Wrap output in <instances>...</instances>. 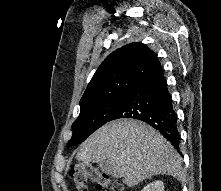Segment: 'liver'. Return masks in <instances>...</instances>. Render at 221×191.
Wrapping results in <instances>:
<instances>
[{"label":"liver","instance_id":"6515ba94","mask_svg":"<svg viewBox=\"0 0 221 191\" xmlns=\"http://www.w3.org/2000/svg\"><path fill=\"white\" fill-rule=\"evenodd\" d=\"M76 159L109 162L129 187L160 174L184 178L177 151L159 132L139 120L119 119L105 124L83 142Z\"/></svg>","mask_w":221,"mask_h":191}]
</instances>
